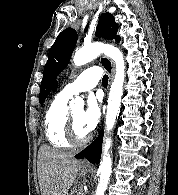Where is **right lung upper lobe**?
Listing matches in <instances>:
<instances>
[{"instance_id":"1","label":"right lung upper lobe","mask_w":178,"mask_h":195,"mask_svg":"<svg viewBox=\"0 0 178 195\" xmlns=\"http://www.w3.org/2000/svg\"><path fill=\"white\" fill-rule=\"evenodd\" d=\"M57 86H58V83L55 82L54 87H53V90H55L57 88Z\"/></svg>"}]
</instances>
